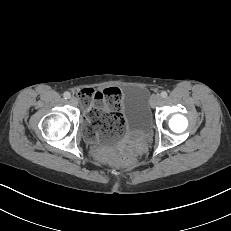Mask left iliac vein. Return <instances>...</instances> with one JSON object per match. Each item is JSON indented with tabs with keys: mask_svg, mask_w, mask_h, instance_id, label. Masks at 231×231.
Wrapping results in <instances>:
<instances>
[{
	"mask_svg": "<svg viewBox=\"0 0 231 231\" xmlns=\"http://www.w3.org/2000/svg\"><path fill=\"white\" fill-rule=\"evenodd\" d=\"M161 103V97L157 94L151 97V107L155 108Z\"/></svg>",
	"mask_w": 231,
	"mask_h": 231,
	"instance_id": "obj_1",
	"label": "left iliac vein"
}]
</instances>
